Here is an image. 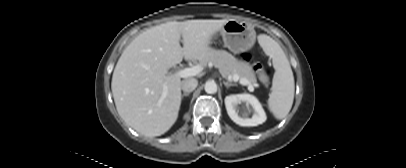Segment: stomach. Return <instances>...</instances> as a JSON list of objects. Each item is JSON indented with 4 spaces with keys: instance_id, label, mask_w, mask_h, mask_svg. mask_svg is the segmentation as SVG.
I'll return each mask as SVG.
<instances>
[{
    "instance_id": "1",
    "label": "stomach",
    "mask_w": 406,
    "mask_h": 168,
    "mask_svg": "<svg viewBox=\"0 0 406 168\" xmlns=\"http://www.w3.org/2000/svg\"><path fill=\"white\" fill-rule=\"evenodd\" d=\"M225 47L234 53L246 51L253 47L256 41L254 27L248 23L234 19L228 20L219 30Z\"/></svg>"
}]
</instances>
